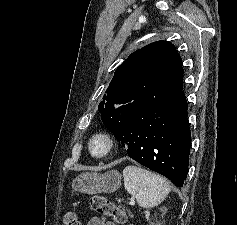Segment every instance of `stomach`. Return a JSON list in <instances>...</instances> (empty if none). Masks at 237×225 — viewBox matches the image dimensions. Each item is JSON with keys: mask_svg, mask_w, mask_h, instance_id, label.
<instances>
[{"mask_svg": "<svg viewBox=\"0 0 237 225\" xmlns=\"http://www.w3.org/2000/svg\"><path fill=\"white\" fill-rule=\"evenodd\" d=\"M121 180L122 176L116 170H110L103 174L84 172L73 180L72 189L90 195L102 192L111 194L120 188Z\"/></svg>", "mask_w": 237, "mask_h": 225, "instance_id": "0dacf381", "label": "stomach"}]
</instances>
